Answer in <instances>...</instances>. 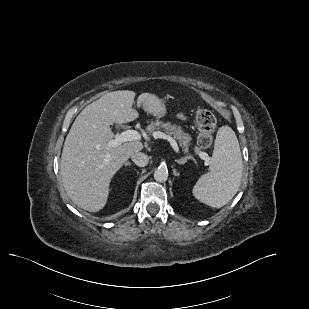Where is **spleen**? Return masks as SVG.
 I'll return each instance as SVG.
<instances>
[{"mask_svg":"<svg viewBox=\"0 0 309 309\" xmlns=\"http://www.w3.org/2000/svg\"><path fill=\"white\" fill-rule=\"evenodd\" d=\"M209 168L193 187V195L210 207L221 208L239 190L243 173L239 142L229 126L217 132Z\"/></svg>","mask_w":309,"mask_h":309,"instance_id":"1","label":"spleen"}]
</instances>
